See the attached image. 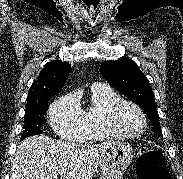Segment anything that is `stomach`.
Instances as JSON below:
<instances>
[{"instance_id": "0dacf381", "label": "stomach", "mask_w": 183, "mask_h": 179, "mask_svg": "<svg viewBox=\"0 0 183 179\" xmlns=\"http://www.w3.org/2000/svg\"><path fill=\"white\" fill-rule=\"evenodd\" d=\"M134 157V150L128 143H115L101 161V179H122Z\"/></svg>"}]
</instances>
